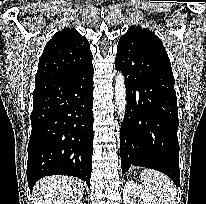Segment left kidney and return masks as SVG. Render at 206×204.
<instances>
[{"instance_id": "1", "label": "left kidney", "mask_w": 206, "mask_h": 204, "mask_svg": "<svg viewBox=\"0 0 206 204\" xmlns=\"http://www.w3.org/2000/svg\"><path fill=\"white\" fill-rule=\"evenodd\" d=\"M133 197H138L140 204H156L142 186L134 181H127L123 189L124 204H136Z\"/></svg>"}]
</instances>
